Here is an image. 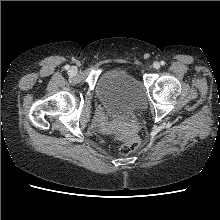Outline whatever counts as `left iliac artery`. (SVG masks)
<instances>
[{
  "instance_id": "obj_1",
  "label": "left iliac artery",
  "mask_w": 220,
  "mask_h": 220,
  "mask_svg": "<svg viewBox=\"0 0 220 220\" xmlns=\"http://www.w3.org/2000/svg\"><path fill=\"white\" fill-rule=\"evenodd\" d=\"M161 65H165V62H164V61H161Z\"/></svg>"
}]
</instances>
